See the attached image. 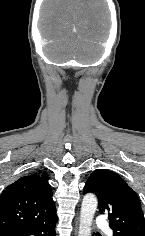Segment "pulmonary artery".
<instances>
[{
	"instance_id": "e3ab8cb5",
	"label": "pulmonary artery",
	"mask_w": 145,
	"mask_h": 236,
	"mask_svg": "<svg viewBox=\"0 0 145 236\" xmlns=\"http://www.w3.org/2000/svg\"><path fill=\"white\" fill-rule=\"evenodd\" d=\"M97 225L101 227L106 233L111 234V229L107 226V222L103 217H99L96 221Z\"/></svg>"
}]
</instances>
